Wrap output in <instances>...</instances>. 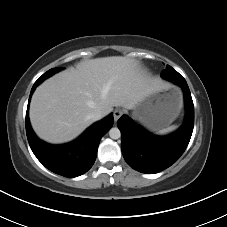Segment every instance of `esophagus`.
I'll use <instances>...</instances> for the list:
<instances>
[{
	"mask_svg": "<svg viewBox=\"0 0 227 227\" xmlns=\"http://www.w3.org/2000/svg\"><path fill=\"white\" fill-rule=\"evenodd\" d=\"M123 113H124L123 110L120 108H118L114 111L113 115H114L115 122L118 121V119L123 115Z\"/></svg>",
	"mask_w": 227,
	"mask_h": 227,
	"instance_id": "esophagus-1",
	"label": "esophagus"
}]
</instances>
